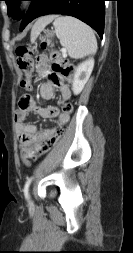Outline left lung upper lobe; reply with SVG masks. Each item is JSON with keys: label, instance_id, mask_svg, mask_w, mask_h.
Instances as JSON below:
<instances>
[{"label": "left lung upper lobe", "instance_id": "obj_1", "mask_svg": "<svg viewBox=\"0 0 133 253\" xmlns=\"http://www.w3.org/2000/svg\"><path fill=\"white\" fill-rule=\"evenodd\" d=\"M5 1L7 4V13L9 16H12L14 19H21L23 15L18 13V3L20 1H30V0H0Z\"/></svg>", "mask_w": 133, "mask_h": 253}]
</instances>
